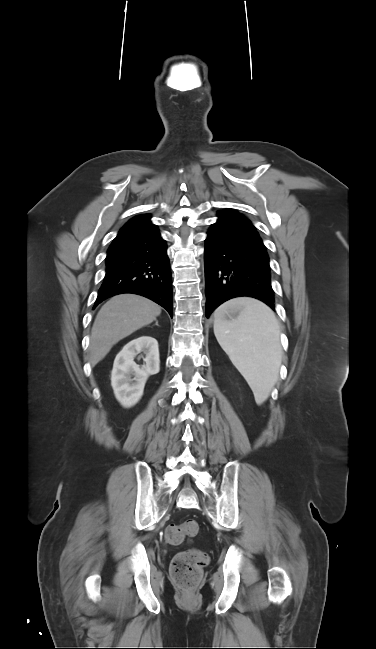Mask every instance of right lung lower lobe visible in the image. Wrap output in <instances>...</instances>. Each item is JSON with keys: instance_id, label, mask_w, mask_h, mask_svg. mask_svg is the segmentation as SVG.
I'll list each match as a JSON object with an SVG mask.
<instances>
[{"instance_id": "obj_1", "label": "right lung lower lobe", "mask_w": 376, "mask_h": 649, "mask_svg": "<svg viewBox=\"0 0 376 649\" xmlns=\"http://www.w3.org/2000/svg\"><path fill=\"white\" fill-rule=\"evenodd\" d=\"M166 243L159 230L114 240L107 251L106 275L94 308L121 293L147 297L173 316L172 279Z\"/></svg>"}]
</instances>
